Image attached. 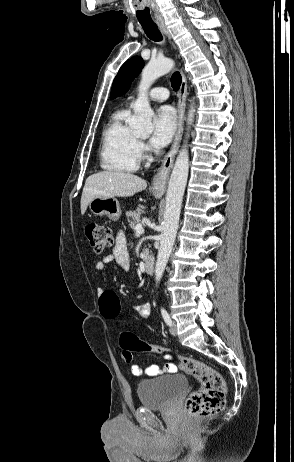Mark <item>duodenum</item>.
<instances>
[{
  "label": "duodenum",
  "instance_id": "obj_1",
  "mask_svg": "<svg viewBox=\"0 0 294 462\" xmlns=\"http://www.w3.org/2000/svg\"><path fill=\"white\" fill-rule=\"evenodd\" d=\"M144 268L146 273L151 274L155 268V260L152 255H147L144 258Z\"/></svg>",
  "mask_w": 294,
  "mask_h": 462
}]
</instances>
